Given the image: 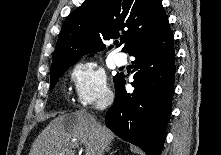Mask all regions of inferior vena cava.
Returning a JSON list of instances; mask_svg holds the SVG:
<instances>
[{"instance_id":"1","label":"inferior vena cava","mask_w":221,"mask_h":155,"mask_svg":"<svg viewBox=\"0 0 221 155\" xmlns=\"http://www.w3.org/2000/svg\"><path fill=\"white\" fill-rule=\"evenodd\" d=\"M113 95H108L104 99L100 100L96 106L98 110H104L108 108L113 103Z\"/></svg>"}]
</instances>
